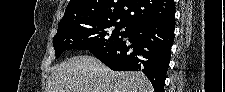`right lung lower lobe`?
<instances>
[{
	"label": "right lung lower lobe",
	"mask_w": 225,
	"mask_h": 92,
	"mask_svg": "<svg viewBox=\"0 0 225 92\" xmlns=\"http://www.w3.org/2000/svg\"><path fill=\"white\" fill-rule=\"evenodd\" d=\"M175 16L149 21L131 28L129 42L121 41L92 54L112 70L142 71L155 92H163L173 45Z\"/></svg>",
	"instance_id": "obj_1"
}]
</instances>
